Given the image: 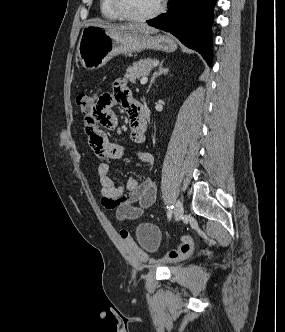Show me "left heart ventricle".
Returning <instances> with one entry per match:
<instances>
[{"mask_svg":"<svg viewBox=\"0 0 285 332\" xmlns=\"http://www.w3.org/2000/svg\"><path fill=\"white\" fill-rule=\"evenodd\" d=\"M126 9L134 15H146L153 12L160 0H122Z\"/></svg>","mask_w":285,"mask_h":332,"instance_id":"1","label":"left heart ventricle"}]
</instances>
